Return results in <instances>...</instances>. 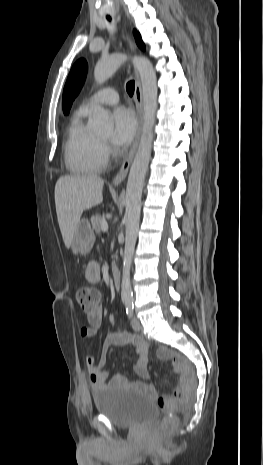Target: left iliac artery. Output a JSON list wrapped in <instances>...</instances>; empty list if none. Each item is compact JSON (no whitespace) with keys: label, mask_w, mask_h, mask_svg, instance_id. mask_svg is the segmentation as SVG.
I'll list each match as a JSON object with an SVG mask.
<instances>
[{"label":"left iliac artery","mask_w":263,"mask_h":465,"mask_svg":"<svg viewBox=\"0 0 263 465\" xmlns=\"http://www.w3.org/2000/svg\"><path fill=\"white\" fill-rule=\"evenodd\" d=\"M134 305L132 302L126 303V313L129 317L133 316Z\"/></svg>","instance_id":"obj_1"}]
</instances>
